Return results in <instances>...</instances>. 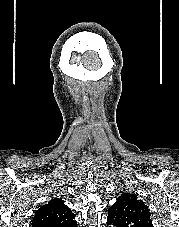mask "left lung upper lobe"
<instances>
[{"label": "left lung upper lobe", "instance_id": "left-lung-upper-lobe-1", "mask_svg": "<svg viewBox=\"0 0 179 227\" xmlns=\"http://www.w3.org/2000/svg\"><path fill=\"white\" fill-rule=\"evenodd\" d=\"M107 223L115 227H153L147 205L130 193H123L110 207Z\"/></svg>", "mask_w": 179, "mask_h": 227}]
</instances>
